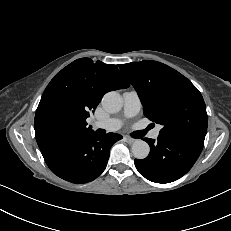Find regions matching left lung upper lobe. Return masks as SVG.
Listing matches in <instances>:
<instances>
[{"label":"left lung upper lobe","mask_w":231,"mask_h":231,"mask_svg":"<svg viewBox=\"0 0 231 231\" xmlns=\"http://www.w3.org/2000/svg\"><path fill=\"white\" fill-rule=\"evenodd\" d=\"M136 89L144 115L162 125L160 134L206 135L208 116L201 93L173 68L152 60L119 65Z\"/></svg>","instance_id":"1"}]
</instances>
